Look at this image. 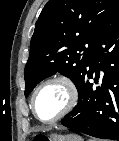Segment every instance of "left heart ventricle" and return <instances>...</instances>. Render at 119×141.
Wrapping results in <instances>:
<instances>
[{
  "instance_id": "1",
  "label": "left heart ventricle",
  "mask_w": 119,
  "mask_h": 141,
  "mask_svg": "<svg viewBox=\"0 0 119 141\" xmlns=\"http://www.w3.org/2000/svg\"><path fill=\"white\" fill-rule=\"evenodd\" d=\"M67 100L65 88L60 84H50L40 90L36 97L37 115L48 120L56 116L64 107Z\"/></svg>"
}]
</instances>
